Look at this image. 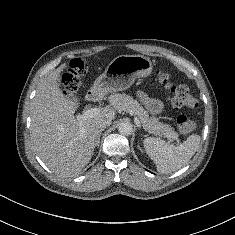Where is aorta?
I'll use <instances>...</instances> for the list:
<instances>
[{"instance_id": "1", "label": "aorta", "mask_w": 235, "mask_h": 235, "mask_svg": "<svg viewBox=\"0 0 235 235\" xmlns=\"http://www.w3.org/2000/svg\"><path fill=\"white\" fill-rule=\"evenodd\" d=\"M118 131L122 135H130L133 131V126L130 122H121L118 126Z\"/></svg>"}]
</instances>
